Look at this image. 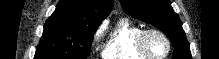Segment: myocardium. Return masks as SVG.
Instances as JSON below:
<instances>
[{
  "mask_svg": "<svg viewBox=\"0 0 219 59\" xmlns=\"http://www.w3.org/2000/svg\"><path fill=\"white\" fill-rule=\"evenodd\" d=\"M151 35H158L165 41L166 51L163 55L156 56L149 51V49L147 47V39ZM137 46H138L139 51L142 54H144L146 57H148L149 59H165L168 57V55L171 52L172 43H171V40L169 39V37L167 36V34L164 33L163 31H161L159 29H155V28H149V29H143L141 31V33L139 34V37H138Z\"/></svg>",
  "mask_w": 219,
  "mask_h": 59,
  "instance_id": "f54148a6",
  "label": "myocardium"
}]
</instances>
